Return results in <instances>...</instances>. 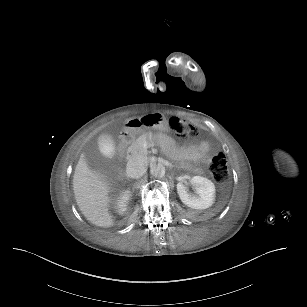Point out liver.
Here are the masks:
<instances>
[{
  "label": "liver",
  "instance_id": "1",
  "mask_svg": "<svg viewBox=\"0 0 307 307\" xmlns=\"http://www.w3.org/2000/svg\"><path fill=\"white\" fill-rule=\"evenodd\" d=\"M73 190L82 214L92 224L104 228L113 226L109 212L110 185L103 175L89 169L84 155H81L73 176Z\"/></svg>",
  "mask_w": 307,
  "mask_h": 307
}]
</instances>
